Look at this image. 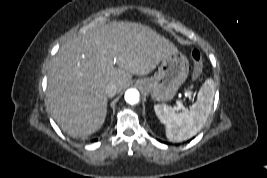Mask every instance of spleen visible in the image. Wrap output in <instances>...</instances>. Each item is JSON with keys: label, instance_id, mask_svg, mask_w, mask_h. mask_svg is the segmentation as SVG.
Returning a JSON list of instances; mask_svg holds the SVG:
<instances>
[{"label": "spleen", "instance_id": "1", "mask_svg": "<svg viewBox=\"0 0 267 178\" xmlns=\"http://www.w3.org/2000/svg\"><path fill=\"white\" fill-rule=\"evenodd\" d=\"M215 85L207 79L200 88L197 101L190 110L176 113L175 109L165 104L154 105L158 119L166 127V137L172 142H181L196 135L205 125L212 109Z\"/></svg>", "mask_w": 267, "mask_h": 178}]
</instances>
